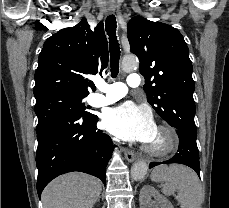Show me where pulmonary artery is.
Masks as SVG:
<instances>
[{
    "label": "pulmonary artery",
    "instance_id": "e3ab8cb5",
    "mask_svg": "<svg viewBox=\"0 0 229 208\" xmlns=\"http://www.w3.org/2000/svg\"><path fill=\"white\" fill-rule=\"evenodd\" d=\"M142 78L138 73H130L126 82H115L108 84L100 79L96 82L98 92L90 96L89 102L94 106H102L112 103L127 94L128 87H139Z\"/></svg>",
    "mask_w": 229,
    "mask_h": 208
}]
</instances>
